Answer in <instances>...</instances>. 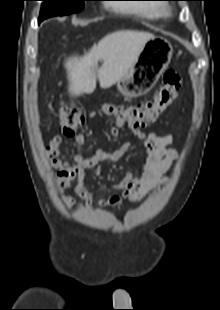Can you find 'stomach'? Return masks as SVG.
I'll return each instance as SVG.
<instances>
[{
    "label": "stomach",
    "instance_id": "stomach-1",
    "mask_svg": "<svg viewBox=\"0 0 220 310\" xmlns=\"http://www.w3.org/2000/svg\"><path fill=\"white\" fill-rule=\"evenodd\" d=\"M172 46L163 37L148 40L128 72L117 81V89L125 97L136 98L148 93L172 58Z\"/></svg>",
    "mask_w": 220,
    "mask_h": 310
}]
</instances>
